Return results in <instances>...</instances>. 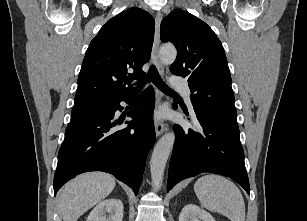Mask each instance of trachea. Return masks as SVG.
<instances>
[{
	"instance_id": "1",
	"label": "trachea",
	"mask_w": 307,
	"mask_h": 221,
	"mask_svg": "<svg viewBox=\"0 0 307 221\" xmlns=\"http://www.w3.org/2000/svg\"><path fill=\"white\" fill-rule=\"evenodd\" d=\"M149 81H152L154 85L157 86V88L162 92L176 94V92L167 86L166 83L162 80L155 66H151L147 76L139 82V88H141L143 84Z\"/></svg>"
}]
</instances>
